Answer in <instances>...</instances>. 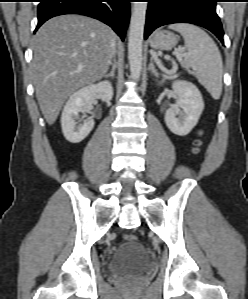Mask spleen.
<instances>
[{
	"mask_svg": "<svg viewBox=\"0 0 248 299\" xmlns=\"http://www.w3.org/2000/svg\"><path fill=\"white\" fill-rule=\"evenodd\" d=\"M169 28L180 32L184 38L187 52L179 53L183 57L182 66L192 68L199 83L218 100L222 93L223 62L213 39L192 24L176 23Z\"/></svg>",
	"mask_w": 248,
	"mask_h": 299,
	"instance_id": "spleen-1",
	"label": "spleen"
}]
</instances>
